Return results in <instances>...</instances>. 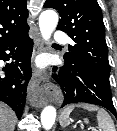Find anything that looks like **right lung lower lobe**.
I'll return each instance as SVG.
<instances>
[{"instance_id":"right-lung-lower-lobe-1","label":"right lung lower lobe","mask_w":117,"mask_h":131,"mask_svg":"<svg viewBox=\"0 0 117 131\" xmlns=\"http://www.w3.org/2000/svg\"><path fill=\"white\" fill-rule=\"evenodd\" d=\"M33 41L28 32L0 45V60L8 61L0 67V100L8 104L20 119L31 79Z\"/></svg>"}]
</instances>
